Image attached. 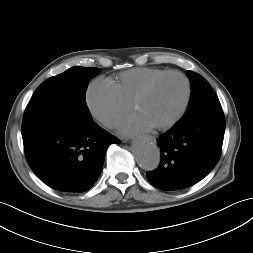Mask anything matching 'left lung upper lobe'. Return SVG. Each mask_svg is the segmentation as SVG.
Wrapping results in <instances>:
<instances>
[{"instance_id": "obj_1", "label": "left lung upper lobe", "mask_w": 253, "mask_h": 253, "mask_svg": "<svg viewBox=\"0 0 253 253\" xmlns=\"http://www.w3.org/2000/svg\"><path fill=\"white\" fill-rule=\"evenodd\" d=\"M192 91L188 109L179 122L224 118L221 104L210 84L199 74L188 71Z\"/></svg>"}]
</instances>
